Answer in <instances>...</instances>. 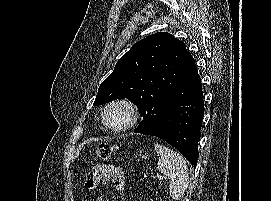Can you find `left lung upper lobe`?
<instances>
[{
  "label": "left lung upper lobe",
  "instance_id": "1",
  "mask_svg": "<svg viewBox=\"0 0 271 201\" xmlns=\"http://www.w3.org/2000/svg\"><path fill=\"white\" fill-rule=\"evenodd\" d=\"M186 57L183 42L169 33L152 34L135 43L99 87L94 105L131 100L143 116L146 134L162 127L164 110L181 82Z\"/></svg>",
  "mask_w": 271,
  "mask_h": 201
}]
</instances>
